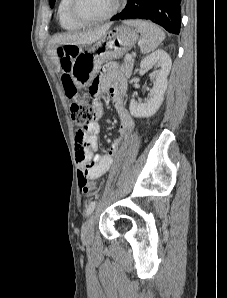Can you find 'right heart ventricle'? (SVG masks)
I'll return each mask as SVG.
<instances>
[{
  "mask_svg": "<svg viewBox=\"0 0 227 298\" xmlns=\"http://www.w3.org/2000/svg\"><path fill=\"white\" fill-rule=\"evenodd\" d=\"M70 0H60L57 8V14L60 25L63 29L73 31L80 29L83 25L75 22L69 15Z\"/></svg>",
  "mask_w": 227,
  "mask_h": 298,
  "instance_id": "e07e8e85",
  "label": "right heart ventricle"
}]
</instances>
